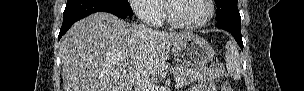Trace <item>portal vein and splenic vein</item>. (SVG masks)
Returning a JSON list of instances; mask_svg holds the SVG:
<instances>
[{
    "mask_svg": "<svg viewBox=\"0 0 304 91\" xmlns=\"http://www.w3.org/2000/svg\"><path fill=\"white\" fill-rule=\"evenodd\" d=\"M179 86H180V84H179V83H177V84H176V87H179Z\"/></svg>",
    "mask_w": 304,
    "mask_h": 91,
    "instance_id": "portal-vein-and-splenic-vein-1",
    "label": "portal vein and splenic vein"
}]
</instances>
